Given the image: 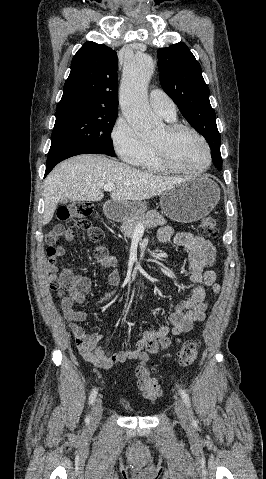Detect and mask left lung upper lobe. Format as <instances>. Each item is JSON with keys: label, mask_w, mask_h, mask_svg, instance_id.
Returning a JSON list of instances; mask_svg holds the SVG:
<instances>
[{"label": "left lung upper lobe", "mask_w": 266, "mask_h": 479, "mask_svg": "<svg viewBox=\"0 0 266 479\" xmlns=\"http://www.w3.org/2000/svg\"><path fill=\"white\" fill-rule=\"evenodd\" d=\"M158 67L163 90L177 104L185 119L209 143L213 164L221 170V136L200 64L184 43H177L158 50Z\"/></svg>", "instance_id": "left-lung-upper-lobe-1"}]
</instances>
